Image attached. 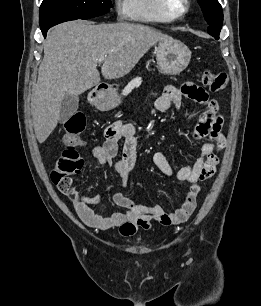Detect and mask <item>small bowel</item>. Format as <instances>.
Segmentation results:
<instances>
[{
    "instance_id": "obj_1",
    "label": "small bowel",
    "mask_w": 261,
    "mask_h": 306,
    "mask_svg": "<svg viewBox=\"0 0 261 306\" xmlns=\"http://www.w3.org/2000/svg\"><path fill=\"white\" fill-rule=\"evenodd\" d=\"M188 97L204 108L194 130V138L202 141L198 158L178 171H174L162 152L153 155V162L166 176L190 184V188L182 204L173 212H166L159 205H139L122 194L114 196V203L124 208V212H116L103 216L92 209L88 202H74V209L80 219L89 227L108 230L117 228L122 236H132L139 229H150L151 222L157 221L163 226L178 225L185 222L196 208V199L200 191L199 182L210 178L218 164L216 151L221 149L226 138L222 133V116L219 105L209 98L208 93L200 86L186 83L181 88L167 87L156 96L155 105L161 112L171 108H180L183 97ZM123 140L122 154L114 161L118 152V142ZM81 140L78 145H82ZM138 148V133L133 125L114 122L105 129V141L92 149V155L101 164L113 165L122 181L132 171Z\"/></svg>"
}]
</instances>
